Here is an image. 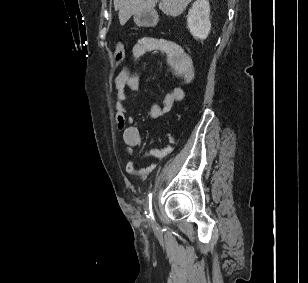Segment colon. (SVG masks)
Returning a JSON list of instances; mask_svg holds the SVG:
<instances>
[{"label":"colon","mask_w":308,"mask_h":283,"mask_svg":"<svg viewBox=\"0 0 308 283\" xmlns=\"http://www.w3.org/2000/svg\"><path fill=\"white\" fill-rule=\"evenodd\" d=\"M125 57V46L123 43L119 42L114 48V58L116 61L120 62Z\"/></svg>","instance_id":"5ec220e1"}]
</instances>
